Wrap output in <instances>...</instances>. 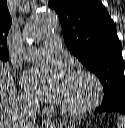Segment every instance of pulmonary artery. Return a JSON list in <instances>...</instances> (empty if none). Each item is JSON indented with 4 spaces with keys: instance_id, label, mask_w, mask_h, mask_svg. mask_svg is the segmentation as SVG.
<instances>
[{
    "instance_id": "pulmonary-artery-1",
    "label": "pulmonary artery",
    "mask_w": 125,
    "mask_h": 128,
    "mask_svg": "<svg viewBox=\"0 0 125 128\" xmlns=\"http://www.w3.org/2000/svg\"><path fill=\"white\" fill-rule=\"evenodd\" d=\"M62 51V45L57 36L49 37L44 47L30 48L24 53V58L29 61H40L49 56L59 55Z\"/></svg>"
}]
</instances>
